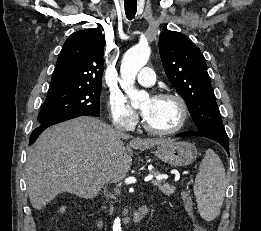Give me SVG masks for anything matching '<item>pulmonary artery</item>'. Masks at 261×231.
Listing matches in <instances>:
<instances>
[{"label":"pulmonary artery","instance_id":"1","mask_svg":"<svg viewBox=\"0 0 261 231\" xmlns=\"http://www.w3.org/2000/svg\"><path fill=\"white\" fill-rule=\"evenodd\" d=\"M138 82L143 86H152L155 82L153 69L150 67H143L138 75Z\"/></svg>","mask_w":261,"mask_h":231}]
</instances>
